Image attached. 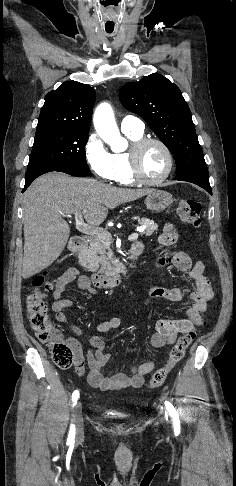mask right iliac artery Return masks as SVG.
<instances>
[{"label": "right iliac artery", "mask_w": 236, "mask_h": 486, "mask_svg": "<svg viewBox=\"0 0 236 486\" xmlns=\"http://www.w3.org/2000/svg\"><path fill=\"white\" fill-rule=\"evenodd\" d=\"M78 398H79V391L78 390H75L73 392V394H72L73 406L76 405ZM74 439H75V425L74 424H71L70 431H69V435H68V441L69 442H73Z\"/></svg>", "instance_id": "obj_1"}]
</instances>
